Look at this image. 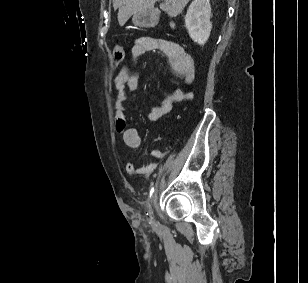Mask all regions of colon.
<instances>
[{
  "instance_id": "obj_1",
  "label": "colon",
  "mask_w": 308,
  "mask_h": 283,
  "mask_svg": "<svg viewBox=\"0 0 308 283\" xmlns=\"http://www.w3.org/2000/svg\"><path fill=\"white\" fill-rule=\"evenodd\" d=\"M113 56L116 62H121L124 59L125 51L121 44H118L114 47Z\"/></svg>"
}]
</instances>
